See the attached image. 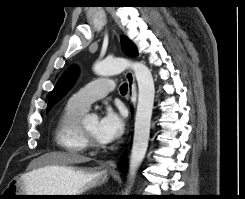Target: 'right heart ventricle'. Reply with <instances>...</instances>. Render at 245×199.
<instances>
[{
  "instance_id": "right-heart-ventricle-1",
  "label": "right heart ventricle",
  "mask_w": 245,
  "mask_h": 199,
  "mask_svg": "<svg viewBox=\"0 0 245 199\" xmlns=\"http://www.w3.org/2000/svg\"><path fill=\"white\" fill-rule=\"evenodd\" d=\"M86 111L69 102L62 110L55 128L57 144L70 154H81L87 150L79 132L80 119Z\"/></svg>"
}]
</instances>
